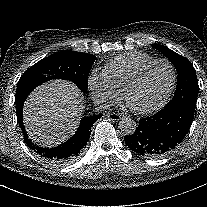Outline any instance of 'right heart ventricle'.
Masks as SVG:
<instances>
[{"instance_id": "e07e8e85", "label": "right heart ventricle", "mask_w": 207, "mask_h": 207, "mask_svg": "<svg viewBox=\"0 0 207 207\" xmlns=\"http://www.w3.org/2000/svg\"><path fill=\"white\" fill-rule=\"evenodd\" d=\"M154 59L153 56L142 52L125 53L111 60L105 66L103 75L110 85L121 94L127 81L134 76L143 65Z\"/></svg>"}]
</instances>
